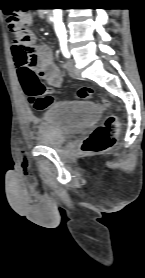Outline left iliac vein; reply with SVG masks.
I'll list each match as a JSON object with an SVG mask.
<instances>
[{
	"label": "left iliac vein",
	"mask_w": 145,
	"mask_h": 278,
	"mask_svg": "<svg viewBox=\"0 0 145 278\" xmlns=\"http://www.w3.org/2000/svg\"><path fill=\"white\" fill-rule=\"evenodd\" d=\"M66 68L70 76L77 78L78 77V71L74 65V63L71 60H68L66 63Z\"/></svg>",
	"instance_id": "4c4485c4"
}]
</instances>
